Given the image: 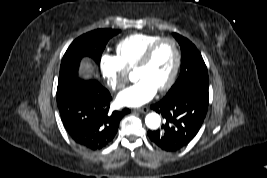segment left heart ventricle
Here are the masks:
<instances>
[{
	"label": "left heart ventricle",
	"instance_id": "left-heart-ventricle-1",
	"mask_svg": "<svg viewBox=\"0 0 267 178\" xmlns=\"http://www.w3.org/2000/svg\"><path fill=\"white\" fill-rule=\"evenodd\" d=\"M174 62L173 46L171 43L165 42L157 49L146 67L136 70V79H147L158 89L168 80Z\"/></svg>",
	"mask_w": 267,
	"mask_h": 178
}]
</instances>
